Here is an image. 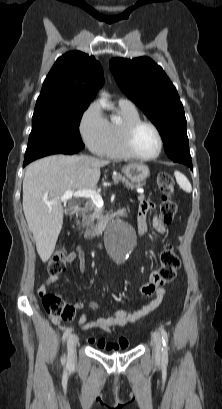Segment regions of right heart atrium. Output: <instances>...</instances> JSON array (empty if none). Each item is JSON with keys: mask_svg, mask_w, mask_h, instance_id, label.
<instances>
[{"mask_svg": "<svg viewBox=\"0 0 222 409\" xmlns=\"http://www.w3.org/2000/svg\"><path fill=\"white\" fill-rule=\"evenodd\" d=\"M79 132L85 145L99 154L108 137V122L98 103H91L82 113Z\"/></svg>", "mask_w": 222, "mask_h": 409, "instance_id": "obj_1", "label": "right heart atrium"}]
</instances>
